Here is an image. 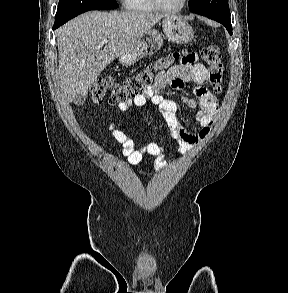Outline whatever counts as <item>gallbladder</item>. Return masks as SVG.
Listing matches in <instances>:
<instances>
[{"label": "gallbladder", "mask_w": 288, "mask_h": 293, "mask_svg": "<svg viewBox=\"0 0 288 293\" xmlns=\"http://www.w3.org/2000/svg\"><path fill=\"white\" fill-rule=\"evenodd\" d=\"M85 100H86V97L85 96H82L81 94H78L74 98L73 102H74L75 105L81 106V105H83L85 103Z\"/></svg>", "instance_id": "bac80fb5"}]
</instances>
